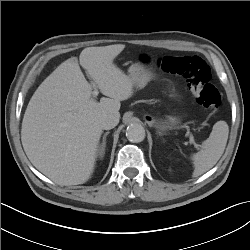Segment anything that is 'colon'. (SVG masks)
<instances>
[{
    "label": "colon",
    "mask_w": 250,
    "mask_h": 250,
    "mask_svg": "<svg viewBox=\"0 0 250 250\" xmlns=\"http://www.w3.org/2000/svg\"><path fill=\"white\" fill-rule=\"evenodd\" d=\"M144 63H155L166 73L183 78L195 97L203 107L216 111L221 105V96L211 83V72L206 62L199 56H165L155 61L144 56Z\"/></svg>",
    "instance_id": "obj_1"
}]
</instances>
